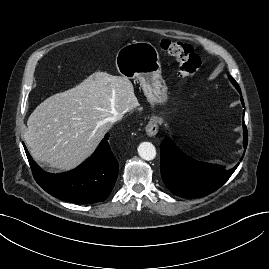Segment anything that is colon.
Segmentation results:
<instances>
[{"label":"colon","instance_id":"5ec220e1","mask_svg":"<svg viewBox=\"0 0 269 269\" xmlns=\"http://www.w3.org/2000/svg\"><path fill=\"white\" fill-rule=\"evenodd\" d=\"M160 47L177 60L181 76L191 78L197 73L200 67V59L190 45L164 39L160 42Z\"/></svg>","mask_w":269,"mask_h":269}]
</instances>
